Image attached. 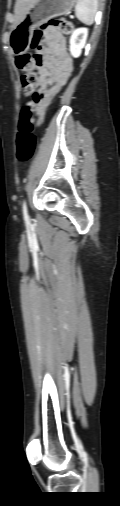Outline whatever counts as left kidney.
Segmentation results:
<instances>
[{"mask_svg": "<svg viewBox=\"0 0 120 506\" xmlns=\"http://www.w3.org/2000/svg\"><path fill=\"white\" fill-rule=\"evenodd\" d=\"M88 36V30L86 28L76 29L70 37V52L73 57H79L82 48L85 46Z\"/></svg>", "mask_w": 120, "mask_h": 506, "instance_id": "left-kidney-1", "label": "left kidney"}]
</instances>
